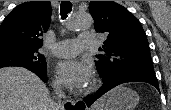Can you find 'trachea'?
Listing matches in <instances>:
<instances>
[{
	"mask_svg": "<svg viewBox=\"0 0 171 110\" xmlns=\"http://www.w3.org/2000/svg\"><path fill=\"white\" fill-rule=\"evenodd\" d=\"M71 11H72V3L70 1H62L60 4V14L62 19H65L68 13H70Z\"/></svg>",
	"mask_w": 171,
	"mask_h": 110,
	"instance_id": "3493384b",
	"label": "trachea"
}]
</instances>
